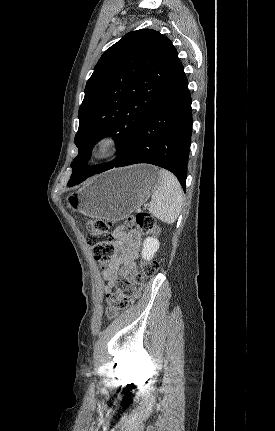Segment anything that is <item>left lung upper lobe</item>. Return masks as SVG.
<instances>
[{"label":"left lung upper lobe","mask_w":275,"mask_h":431,"mask_svg":"<svg viewBox=\"0 0 275 431\" xmlns=\"http://www.w3.org/2000/svg\"><path fill=\"white\" fill-rule=\"evenodd\" d=\"M180 61L171 41L159 32H129L108 48L87 81L79 108L74 142L78 155L73 173L94 175L126 152L154 106L168 87ZM114 136L119 155L110 163L90 168L93 145Z\"/></svg>","instance_id":"1"}]
</instances>
